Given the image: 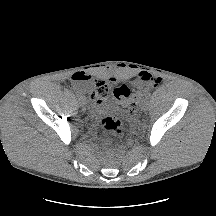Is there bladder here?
I'll return each instance as SVG.
<instances>
[{"instance_id": "31cf9c89", "label": "bladder", "mask_w": 216, "mask_h": 216, "mask_svg": "<svg viewBox=\"0 0 216 216\" xmlns=\"http://www.w3.org/2000/svg\"><path fill=\"white\" fill-rule=\"evenodd\" d=\"M114 107H115V106H114V105H112V108H111V109H114Z\"/></svg>"}]
</instances>
